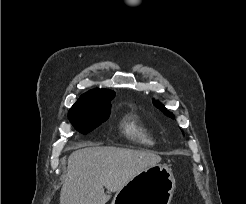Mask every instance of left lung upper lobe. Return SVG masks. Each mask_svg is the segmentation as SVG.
I'll list each match as a JSON object with an SVG mask.
<instances>
[{
  "label": "left lung upper lobe",
  "instance_id": "left-lung-upper-lobe-1",
  "mask_svg": "<svg viewBox=\"0 0 246 204\" xmlns=\"http://www.w3.org/2000/svg\"><path fill=\"white\" fill-rule=\"evenodd\" d=\"M154 105L159 108L160 110H162L167 116L171 117L174 119V115L168 111H166V108L164 106H162L159 102H154Z\"/></svg>",
  "mask_w": 246,
  "mask_h": 204
}]
</instances>
